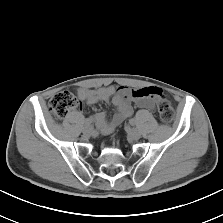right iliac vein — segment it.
Segmentation results:
<instances>
[{"label": "right iliac vein", "mask_w": 223, "mask_h": 223, "mask_svg": "<svg viewBox=\"0 0 223 223\" xmlns=\"http://www.w3.org/2000/svg\"><path fill=\"white\" fill-rule=\"evenodd\" d=\"M92 132H93L92 126H86L83 128V133L87 136L90 135Z\"/></svg>", "instance_id": "63e3f726"}]
</instances>
